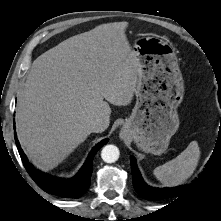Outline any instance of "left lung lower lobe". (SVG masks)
<instances>
[{
  "label": "left lung lower lobe",
  "mask_w": 221,
  "mask_h": 221,
  "mask_svg": "<svg viewBox=\"0 0 221 221\" xmlns=\"http://www.w3.org/2000/svg\"><path fill=\"white\" fill-rule=\"evenodd\" d=\"M221 104V101H220ZM131 161V169H132V177H133V185L136 190V192L143 197L144 199H148L151 201L156 200H162L172 197H177L180 195H183L187 190H189L194 183L199 179H196V181L190 186H182V187H175V188H154L151 186H148L142 179L140 172L136 165V160L134 157L130 158ZM202 174V173H201Z\"/></svg>",
  "instance_id": "1"
}]
</instances>
